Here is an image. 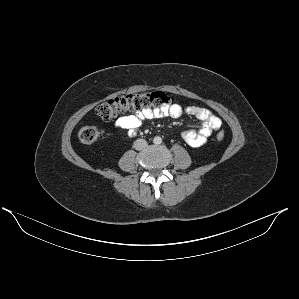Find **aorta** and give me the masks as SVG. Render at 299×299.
Here are the masks:
<instances>
[{"label": "aorta", "mask_w": 299, "mask_h": 299, "mask_svg": "<svg viewBox=\"0 0 299 299\" xmlns=\"http://www.w3.org/2000/svg\"><path fill=\"white\" fill-rule=\"evenodd\" d=\"M154 144H161L162 143V138L159 136L154 137L153 139Z\"/></svg>", "instance_id": "aorta-1"}]
</instances>
